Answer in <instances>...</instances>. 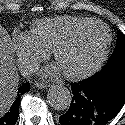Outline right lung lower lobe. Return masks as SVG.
I'll list each match as a JSON object with an SVG mask.
<instances>
[{
    "instance_id": "obj_1",
    "label": "right lung lower lobe",
    "mask_w": 125,
    "mask_h": 125,
    "mask_svg": "<svg viewBox=\"0 0 125 125\" xmlns=\"http://www.w3.org/2000/svg\"><path fill=\"white\" fill-rule=\"evenodd\" d=\"M30 90V84L26 82L22 86L18 88V95H22ZM20 104L19 97L14 101L10 109L5 115L0 116V125H15L18 116L19 109L18 106Z\"/></svg>"
}]
</instances>
